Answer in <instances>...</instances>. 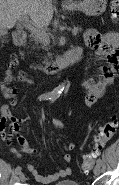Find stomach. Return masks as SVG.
<instances>
[{"mask_svg": "<svg viewBox=\"0 0 119 185\" xmlns=\"http://www.w3.org/2000/svg\"><path fill=\"white\" fill-rule=\"evenodd\" d=\"M107 0H83L80 3L73 4L72 9L81 10L86 15H100L106 10Z\"/></svg>", "mask_w": 119, "mask_h": 185, "instance_id": "0dacf381", "label": "stomach"}]
</instances>
